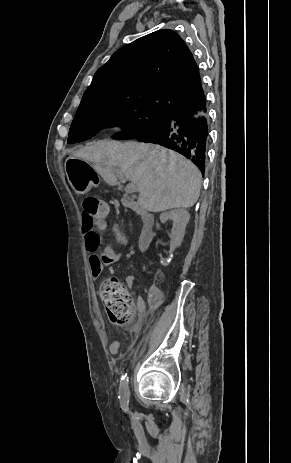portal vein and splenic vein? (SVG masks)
<instances>
[{
    "label": "portal vein and splenic vein",
    "mask_w": 291,
    "mask_h": 463,
    "mask_svg": "<svg viewBox=\"0 0 291 463\" xmlns=\"http://www.w3.org/2000/svg\"><path fill=\"white\" fill-rule=\"evenodd\" d=\"M117 176L120 179H124V174L122 172H120V171H117ZM125 191H126V193H129V194L135 193L137 191L135 184H133V183L127 184L126 187H125Z\"/></svg>",
    "instance_id": "portal-vein-and-splenic-vein-1"
}]
</instances>
